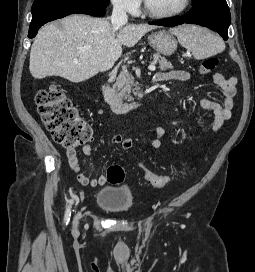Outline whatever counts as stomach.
Returning <instances> with one entry per match:
<instances>
[{
  "label": "stomach",
  "mask_w": 255,
  "mask_h": 272,
  "mask_svg": "<svg viewBox=\"0 0 255 272\" xmlns=\"http://www.w3.org/2000/svg\"><path fill=\"white\" fill-rule=\"evenodd\" d=\"M148 42L154 50L164 56L172 55L177 49L176 39L165 30L152 32L148 35Z\"/></svg>",
  "instance_id": "obj_1"
}]
</instances>
